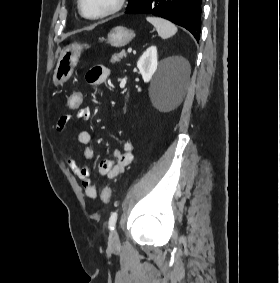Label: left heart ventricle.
I'll list each match as a JSON object with an SVG mask.
<instances>
[{"label":"left heart ventricle","instance_id":"1","mask_svg":"<svg viewBox=\"0 0 280 283\" xmlns=\"http://www.w3.org/2000/svg\"><path fill=\"white\" fill-rule=\"evenodd\" d=\"M117 0H83V9L88 15H98L110 9Z\"/></svg>","mask_w":280,"mask_h":283}]
</instances>
